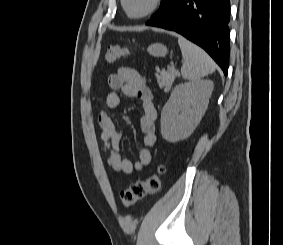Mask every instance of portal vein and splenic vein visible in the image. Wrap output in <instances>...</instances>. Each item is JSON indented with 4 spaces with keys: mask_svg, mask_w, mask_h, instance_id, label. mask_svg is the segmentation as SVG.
Returning <instances> with one entry per match:
<instances>
[{
    "mask_svg": "<svg viewBox=\"0 0 283 245\" xmlns=\"http://www.w3.org/2000/svg\"><path fill=\"white\" fill-rule=\"evenodd\" d=\"M170 69L174 70L175 69L174 65H171Z\"/></svg>",
    "mask_w": 283,
    "mask_h": 245,
    "instance_id": "portal-vein-and-splenic-vein-1",
    "label": "portal vein and splenic vein"
}]
</instances>
